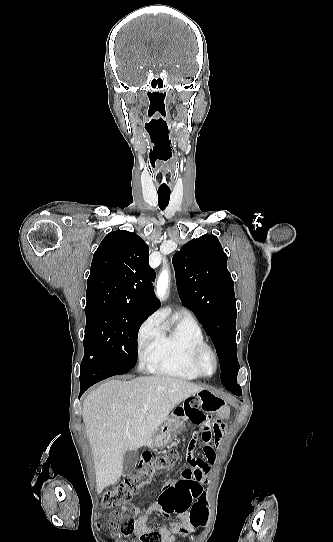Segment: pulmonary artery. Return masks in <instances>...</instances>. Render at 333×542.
Listing matches in <instances>:
<instances>
[{"instance_id": "pulmonary-artery-1", "label": "pulmonary artery", "mask_w": 333, "mask_h": 542, "mask_svg": "<svg viewBox=\"0 0 333 542\" xmlns=\"http://www.w3.org/2000/svg\"><path fill=\"white\" fill-rule=\"evenodd\" d=\"M182 313H184V314L187 315L188 317H193L192 312L189 311V310H187V309L182 310Z\"/></svg>"}]
</instances>
